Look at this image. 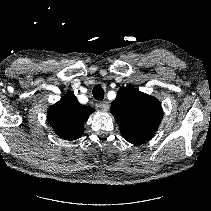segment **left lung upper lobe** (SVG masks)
I'll use <instances>...</instances> for the list:
<instances>
[{"mask_svg":"<svg viewBox=\"0 0 211 211\" xmlns=\"http://www.w3.org/2000/svg\"><path fill=\"white\" fill-rule=\"evenodd\" d=\"M111 113L120 125L122 137L132 144L149 140L162 119V107L153 96L130 87L118 90Z\"/></svg>","mask_w":211,"mask_h":211,"instance_id":"1","label":"left lung upper lobe"}]
</instances>
